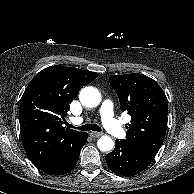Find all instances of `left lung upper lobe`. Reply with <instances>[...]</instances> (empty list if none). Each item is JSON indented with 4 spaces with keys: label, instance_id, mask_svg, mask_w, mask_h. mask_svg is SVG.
Here are the masks:
<instances>
[{
    "label": "left lung upper lobe",
    "instance_id": "1",
    "mask_svg": "<svg viewBox=\"0 0 194 194\" xmlns=\"http://www.w3.org/2000/svg\"><path fill=\"white\" fill-rule=\"evenodd\" d=\"M122 112L131 116L127 126V143L157 154L167 129V98L153 79L139 73L111 75Z\"/></svg>",
    "mask_w": 194,
    "mask_h": 194
}]
</instances>
